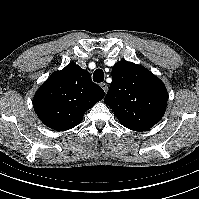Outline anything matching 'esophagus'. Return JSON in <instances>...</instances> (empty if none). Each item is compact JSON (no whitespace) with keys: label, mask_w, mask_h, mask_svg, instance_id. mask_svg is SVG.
<instances>
[{"label":"esophagus","mask_w":199,"mask_h":199,"mask_svg":"<svg viewBox=\"0 0 199 199\" xmlns=\"http://www.w3.org/2000/svg\"><path fill=\"white\" fill-rule=\"evenodd\" d=\"M100 86H101V88L104 90V92H107V90H108V85H107V83L102 82V83L100 84Z\"/></svg>","instance_id":"esophagus-1"}]
</instances>
